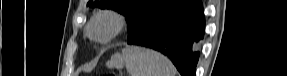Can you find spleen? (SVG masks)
Segmentation results:
<instances>
[{
	"label": "spleen",
	"instance_id": "spleen-1",
	"mask_svg": "<svg viewBox=\"0 0 287 76\" xmlns=\"http://www.w3.org/2000/svg\"><path fill=\"white\" fill-rule=\"evenodd\" d=\"M109 68L126 67L130 76H175L176 69L162 54L137 46H127L111 56Z\"/></svg>",
	"mask_w": 287,
	"mask_h": 76
}]
</instances>
